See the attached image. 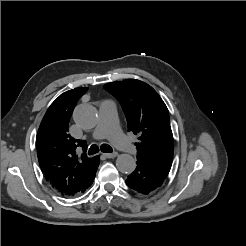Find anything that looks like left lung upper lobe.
I'll list each match as a JSON object with an SVG mask.
<instances>
[{
    "label": "left lung upper lobe",
    "mask_w": 246,
    "mask_h": 246,
    "mask_svg": "<svg viewBox=\"0 0 246 246\" xmlns=\"http://www.w3.org/2000/svg\"><path fill=\"white\" fill-rule=\"evenodd\" d=\"M121 104L128 131L138 134L137 162L167 176L173 160V135L168 109L148 84L127 79L104 85Z\"/></svg>",
    "instance_id": "left-lung-upper-lobe-1"
}]
</instances>
